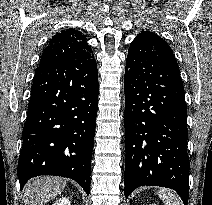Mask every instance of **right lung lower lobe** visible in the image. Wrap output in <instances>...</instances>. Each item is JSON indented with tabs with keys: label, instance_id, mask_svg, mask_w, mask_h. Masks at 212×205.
I'll use <instances>...</instances> for the list:
<instances>
[{
	"label": "right lung lower lobe",
	"instance_id": "right-lung-lower-lobe-1",
	"mask_svg": "<svg viewBox=\"0 0 212 205\" xmlns=\"http://www.w3.org/2000/svg\"><path fill=\"white\" fill-rule=\"evenodd\" d=\"M97 106L94 58L39 64L22 133L21 190L32 177L54 175L75 180L89 194Z\"/></svg>",
	"mask_w": 212,
	"mask_h": 205
}]
</instances>
